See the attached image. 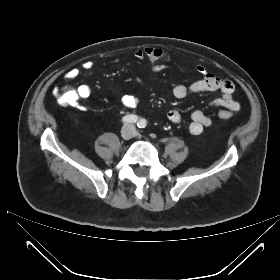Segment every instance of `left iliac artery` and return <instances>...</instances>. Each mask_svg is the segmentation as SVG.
Returning <instances> with one entry per match:
<instances>
[{"label":"left iliac artery","mask_w":280,"mask_h":280,"mask_svg":"<svg viewBox=\"0 0 280 280\" xmlns=\"http://www.w3.org/2000/svg\"><path fill=\"white\" fill-rule=\"evenodd\" d=\"M146 125H147V122H146L145 119H141V120H139L138 123H137V126H138L139 128H145Z\"/></svg>","instance_id":"44dca946"}]
</instances>
